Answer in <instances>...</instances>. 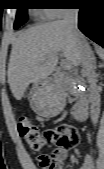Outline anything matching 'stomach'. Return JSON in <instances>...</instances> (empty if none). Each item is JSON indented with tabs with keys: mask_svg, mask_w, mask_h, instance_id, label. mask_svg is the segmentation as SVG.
Here are the masks:
<instances>
[{
	"mask_svg": "<svg viewBox=\"0 0 104 169\" xmlns=\"http://www.w3.org/2000/svg\"><path fill=\"white\" fill-rule=\"evenodd\" d=\"M31 108L40 116L54 117L65 106L64 91L52 81L37 83L28 97Z\"/></svg>",
	"mask_w": 104,
	"mask_h": 169,
	"instance_id": "0dacf381",
	"label": "stomach"
}]
</instances>
